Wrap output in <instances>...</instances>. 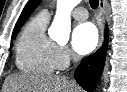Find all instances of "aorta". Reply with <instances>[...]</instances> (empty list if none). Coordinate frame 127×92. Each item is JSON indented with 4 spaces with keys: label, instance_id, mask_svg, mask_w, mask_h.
I'll return each instance as SVG.
<instances>
[{
    "label": "aorta",
    "instance_id": "762f6f07",
    "mask_svg": "<svg viewBox=\"0 0 127 92\" xmlns=\"http://www.w3.org/2000/svg\"><path fill=\"white\" fill-rule=\"evenodd\" d=\"M80 0H57L56 15L49 30L50 37L58 43L69 40L71 30L70 14Z\"/></svg>",
    "mask_w": 127,
    "mask_h": 92
}]
</instances>
